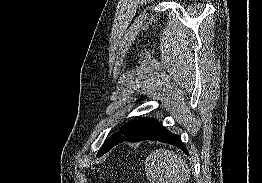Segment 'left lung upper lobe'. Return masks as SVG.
Wrapping results in <instances>:
<instances>
[{"label":"left lung upper lobe","instance_id":"1","mask_svg":"<svg viewBox=\"0 0 262 183\" xmlns=\"http://www.w3.org/2000/svg\"><path fill=\"white\" fill-rule=\"evenodd\" d=\"M149 120V118H142L133 120L127 124H125L120 132L114 133L110 138L104 143L101 149L98 152V156H102L104 153L107 152L108 148L115 143L116 141L120 140L121 138H126L128 136L133 135L139 129H141L144 124Z\"/></svg>","mask_w":262,"mask_h":183}]
</instances>
